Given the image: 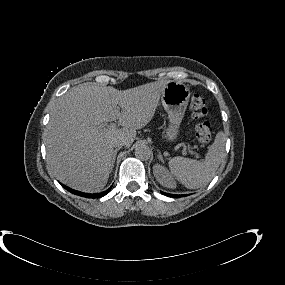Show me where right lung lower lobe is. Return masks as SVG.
<instances>
[{
  "instance_id": "1",
  "label": "right lung lower lobe",
  "mask_w": 285,
  "mask_h": 285,
  "mask_svg": "<svg viewBox=\"0 0 285 285\" xmlns=\"http://www.w3.org/2000/svg\"><path fill=\"white\" fill-rule=\"evenodd\" d=\"M66 190H68L69 192L82 196V197H86V198H100L105 196L107 193H109V191L111 190V187L109 189H107L106 191H103L101 193H97V194H86V193H81L75 190L70 189L69 187H66L65 185H62Z\"/></svg>"
}]
</instances>
